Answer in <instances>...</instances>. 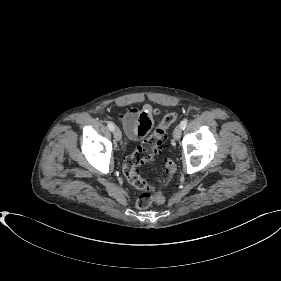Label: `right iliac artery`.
<instances>
[{
    "label": "right iliac artery",
    "mask_w": 281,
    "mask_h": 281,
    "mask_svg": "<svg viewBox=\"0 0 281 281\" xmlns=\"http://www.w3.org/2000/svg\"><path fill=\"white\" fill-rule=\"evenodd\" d=\"M107 126H108L109 130H111V131H113L115 129L113 122H108Z\"/></svg>",
    "instance_id": "obj_1"
}]
</instances>
